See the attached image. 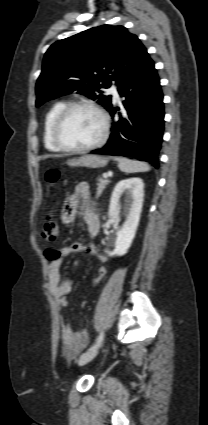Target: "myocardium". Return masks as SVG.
Listing matches in <instances>:
<instances>
[{
  "label": "myocardium",
  "mask_w": 208,
  "mask_h": 425,
  "mask_svg": "<svg viewBox=\"0 0 208 425\" xmlns=\"http://www.w3.org/2000/svg\"><path fill=\"white\" fill-rule=\"evenodd\" d=\"M79 108H85V109H89L93 112H95L101 119L102 122V131L101 134L99 136V138L84 147H71V146H67L65 145L62 140L60 139V131L61 128L65 122V120L67 119L68 115L75 109H79ZM109 129H110V120L109 117L107 115V113L97 104L89 102V101H75V102H71L67 105H65L63 107V109L59 112V114L57 115L53 126H52V140L54 142V144L61 150L64 152H68V153H74V154H78V153H86L89 152L91 150H94L98 147H100L101 145H103L105 143V141L108 138L109 135Z\"/></svg>",
  "instance_id": "myocardium-1"
}]
</instances>
